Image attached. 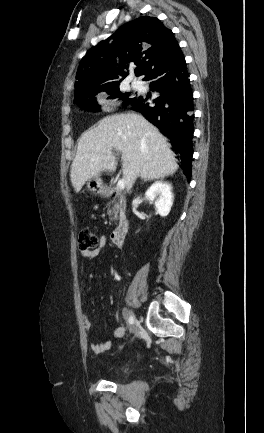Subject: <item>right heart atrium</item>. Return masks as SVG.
I'll return each mask as SVG.
<instances>
[{"instance_id": "d8ad5b80", "label": "right heart atrium", "mask_w": 264, "mask_h": 433, "mask_svg": "<svg viewBox=\"0 0 264 433\" xmlns=\"http://www.w3.org/2000/svg\"><path fill=\"white\" fill-rule=\"evenodd\" d=\"M99 102L102 110L108 111L110 109V103L108 101L101 99Z\"/></svg>"}]
</instances>
